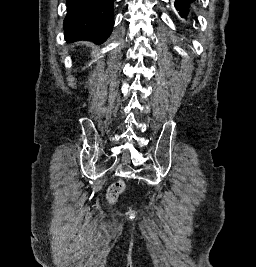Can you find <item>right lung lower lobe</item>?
<instances>
[{
    "label": "right lung lower lobe",
    "mask_w": 256,
    "mask_h": 267,
    "mask_svg": "<svg viewBox=\"0 0 256 267\" xmlns=\"http://www.w3.org/2000/svg\"><path fill=\"white\" fill-rule=\"evenodd\" d=\"M64 20L67 42L90 40L103 43L113 28L114 0H66Z\"/></svg>",
    "instance_id": "right-lung-lower-lobe-1"
}]
</instances>
